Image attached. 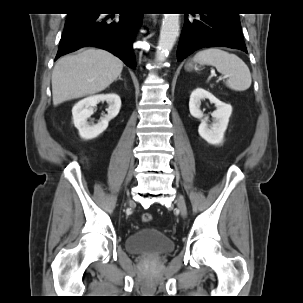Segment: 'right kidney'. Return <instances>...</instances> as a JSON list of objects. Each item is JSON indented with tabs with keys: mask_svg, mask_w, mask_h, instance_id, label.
Listing matches in <instances>:
<instances>
[{
	"mask_svg": "<svg viewBox=\"0 0 303 303\" xmlns=\"http://www.w3.org/2000/svg\"><path fill=\"white\" fill-rule=\"evenodd\" d=\"M106 101L109 105L107 115L101 118L97 124L90 125L87 119L93 113V107ZM121 108V99L117 94H101L90 96L76 103L72 109L73 123L78 129L79 135L84 140H91L103 133L111 119L116 117Z\"/></svg>",
	"mask_w": 303,
	"mask_h": 303,
	"instance_id": "right-kidney-1",
	"label": "right kidney"
}]
</instances>
